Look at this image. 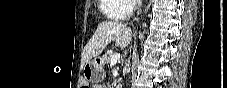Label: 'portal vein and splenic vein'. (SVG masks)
Returning a JSON list of instances; mask_svg holds the SVG:
<instances>
[{
  "label": "portal vein and splenic vein",
  "instance_id": "obj_1",
  "mask_svg": "<svg viewBox=\"0 0 227 88\" xmlns=\"http://www.w3.org/2000/svg\"><path fill=\"white\" fill-rule=\"evenodd\" d=\"M119 59H120L119 53L113 54L111 57V61H110L111 65H115L117 63V61H119Z\"/></svg>",
  "mask_w": 227,
  "mask_h": 88
}]
</instances>
